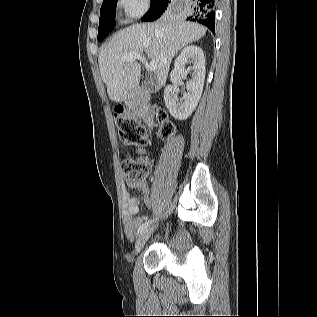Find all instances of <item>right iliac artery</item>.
Wrapping results in <instances>:
<instances>
[{
  "label": "right iliac artery",
  "instance_id": "obj_1",
  "mask_svg": "<svg viewBox=\"0 0 317 317\" xmlns=\"http://www.w3.org/2000/svg\"><path fill=\"white\" fill-rule=\"evenodd\" d=\"M152 222H154V220L146 221L145 223H143L138 229V234L142 233Z\"/></svg>",
  "mask_w": 317,
  "mask_h": 317
}]
</instances>
